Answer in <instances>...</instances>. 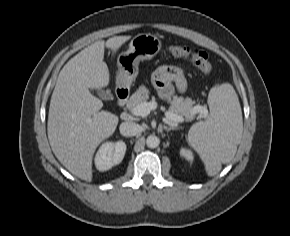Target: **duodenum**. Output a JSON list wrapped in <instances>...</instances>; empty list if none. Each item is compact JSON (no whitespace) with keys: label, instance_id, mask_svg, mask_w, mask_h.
Here are the masks:
<instances>
[{"label":"duodenum","instance_id":"410a0bca","mask_svg":"<svg viewBox=\"0 0 290 236\" xmlns=\"http://www.w3.org/2000/svg\"><path fill=\"white\" fill-rule=\"evenodd\" d=\"M117 95V104L118 106H124L126 101L129 98V91L123 88H120L116 92Z\"/></svg>","mask_w":290,"mask_h":236}]
</instances>
